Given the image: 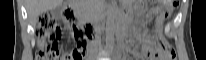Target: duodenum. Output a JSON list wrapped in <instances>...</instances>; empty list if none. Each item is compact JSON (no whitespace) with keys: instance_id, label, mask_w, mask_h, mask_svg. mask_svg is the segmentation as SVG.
I'll return each mask as SVG.
<instances>
[{"instance_id":"obj_1","label":"duodenum","mask_w":206,"mask_h":60,"mask_svg":"<svg viewBox=\"0 0 206 60\" xmlns=\"http://www.w3.org/2000/svg\"><path fill=\"white\" fill-rule=\"evenodd\" d=\"M64 17L67 22L72 24L73 28H83L85 33L88 34L89 36L91 34H95V35L99 34L92 24L83 23V20L79 19L76 11V4L73 2L68 3L66 5L64 10ZM123 30H125V25H118V28L114 30V33L117 34L119 37H121L123 34Z\"/></svg>"}]
</instances>
